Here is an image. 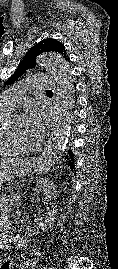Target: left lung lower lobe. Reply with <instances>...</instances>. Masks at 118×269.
<instances>
[{"label": "left lung lower lobe", "mask_w": 118, "mask_h": 269, "mask_svg": "<svg viewBox=\"0 0 118 269\" xmlns=\"http://www.w3.org/2000/svg\"><path fill=\"white\" fill-rule=\"evenodd\" d=\"M74 155L72 153V150H69V156H66V159H67V165L71 168V170L73 171L74 169Z\"/></svg>", "instance_id": "0a47b994"}]
</instances>
